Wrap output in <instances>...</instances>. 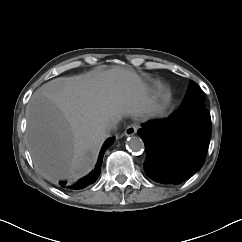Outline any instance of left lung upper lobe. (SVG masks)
<instances>
[{"instance_id": "5c2ea615", "label": "left lung upper lobe", "mask_w": 242, "mask_h": 242, "mask_svg": "<svg viewBox=\"0 0 242 242\" xmlns=\"http://www.w3.org/2000/svg\"><path fill=\"white\" fill-rule=\"evenodd\" d=\"M194 107H205V97L198 85L191 80L186 95L181 103L180 110Z\"/></svg>"}]
</instances>
